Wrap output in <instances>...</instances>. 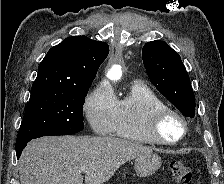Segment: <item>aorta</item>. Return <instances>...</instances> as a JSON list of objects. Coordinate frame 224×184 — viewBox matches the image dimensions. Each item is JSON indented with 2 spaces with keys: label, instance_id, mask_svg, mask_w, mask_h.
I'll return each instance as SVG.
<instances>
[{
  "label": "aorta",
  "instance_id": "1",
  "mask_svg": "<svg viewBox=\"0 0 224 184\" xmlns=\"http://www.w3.org/2000/svg\"><path fill=\"white\" fill-rule=\"evenodd\" d=\"M121 76H122L121 67L118 65L113 66L107 74V77L113 81L119 80Z\"/></svg>",
  "mask_w": 224,
  "mask_h": 184
}]
</instances>
